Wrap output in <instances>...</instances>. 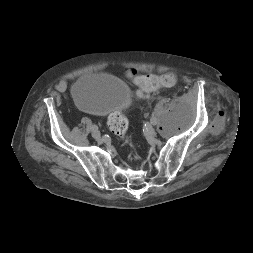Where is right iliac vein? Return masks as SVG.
<instances>
[{"instance_id":"63e3f726","label":"right iliac vein","mask_w":253,"mask_h":253,"mask_svg":"<svg viewBox=\"0 0 253 253\" xmlns=\"http://www.w3.org/2000/svg\"><path fill=\"white\" fill-rule=\"evenodd\" d=\"M92 136L94 138L98 139V138H100V132L97 129H95L92 131Z\"/></svg>"}]
</instances>
